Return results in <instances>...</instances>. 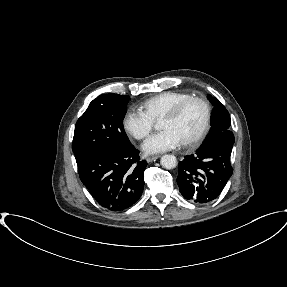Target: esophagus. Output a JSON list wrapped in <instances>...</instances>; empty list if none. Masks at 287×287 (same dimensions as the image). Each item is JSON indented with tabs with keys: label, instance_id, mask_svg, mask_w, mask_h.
<instances>
[{
	"label": "esophagus",
	"instance_id": "obj_1",
	"mask_svg": "<svg viewBox=\"0 0 287 287\" xmlns=\"http://www.w3.org/2000/svg\"><path fill=\"white\" fill-rule=\"evenodd\" d=\"M158 158H160V155L149 156V157L147 158V162L155 161V160H157Z\"/></svg>",
	"mask_w": 287,
	"mask_h": 287
}]
</instances>
